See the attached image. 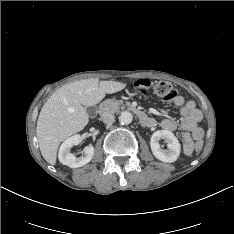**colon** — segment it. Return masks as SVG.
<instances>
[{
	"mask_svg": "<svg viewBox=\"0 0 234 234\" xmlns=\"http://www.w3.org/2000/svg\"><path fill=\"white\" fill-rule=\"evenodd\" d=\"M150 88H151V83L147 79H140L136 81L133 85V91L141 93L143 95H149ZM154 93L155 95H157L158 97L164 100H171L176 94L172 86L167 82H159L154 88ZM201 146H202L201 143H196L194 145V149L198 151L201 149Z\"/></svg>",
	"mask_w": 234,
	"mask_h": 234,
	"instance_id": "1",
	"label": "colon"
}]
</instances>
